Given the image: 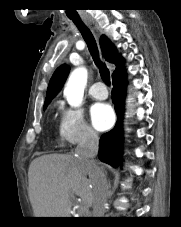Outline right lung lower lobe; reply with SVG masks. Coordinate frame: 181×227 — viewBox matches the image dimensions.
<instances>
[{
  "label": "right lung lower lobe",
  "mask_w": 181,
  "mask_h": 227,
  "mask_svg": "<svg viewBox=\"0 0 181 227\" xmlns=\"http://www.w3.org/2000/svg\"><path fill=\"white\" fill-rule=\"evenodd\" d=\"M112 79V99L115 104L117 122L115 127L111 131L105 133L100 138L98 156L101 161L117 167L123 145L122 120L124 113L123 104L126 88V72L123 63L120 68L113 73Z\"/></svg>",
  "instance_id": "obj_1"
}]
</instances>
